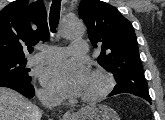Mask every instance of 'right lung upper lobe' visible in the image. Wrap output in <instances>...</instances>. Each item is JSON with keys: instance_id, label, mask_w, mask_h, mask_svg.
<instances>
[{"instance_id": "cb5924a9", "label": "right lung upper lobe", "mask_w": 165, "mask_h": 120, "mask_svg": "<svg viewBox=\"0 0 165 120\" xmlns=\"http://www.w3.org/2000/svg\"><path fill=\"white\" fill-rule=\"evenodd\" d=\"M41 1L16 0L0 11V60L25 58L32 45L49 39Z\"/></svg>"}]
</instances>
